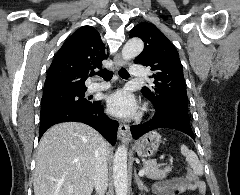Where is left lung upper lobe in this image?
Masks as SVG:
<instances>
[{"mask_svg":"<svg viewBox=\"0 0 240 195\" xmlns=\"http://www.w3.org/2000/svg\"><path fill=\"white\" fill-rule=\"evenodd\" d=\"M139 37L144 50L134 63L150 66L154 72L153 84L142 88L157 113H178L189 117L183 66L176 48L168 38L151 23H140L130 32V38Z\"/></svg>","mask_w":240,"mask_h":195,"instance_id":"1","label":"left lung upper lobe"}]
</instances>
